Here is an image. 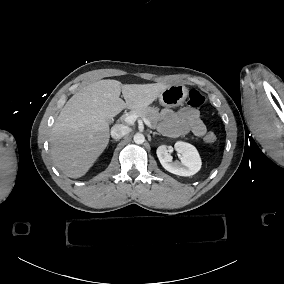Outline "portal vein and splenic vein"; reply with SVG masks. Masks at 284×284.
I'll return each instance as SVG.
<instances>
[{"mask_svg":"<svg viewBox=\"0 0 284 284\" xmlns=\"http://www.w3.org/2000/svg\"><path fill=\"white\" fill-rule=\"evenodd\" d=\"M139 116L136 115V114H132V115H127L124 119V121L127 123V124H134L135 121L137 120ZM144 123L148 126V127H151V123L148 119L146 118H142Z\"/></svg>","mask_w":284,"mask_h":284,"instance_id":"portal-vein-and-splenic-vein-1","label":"portal vein and splenic vein"}]
</instances>
